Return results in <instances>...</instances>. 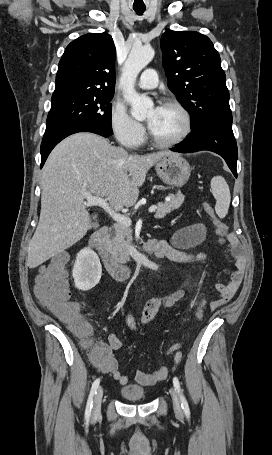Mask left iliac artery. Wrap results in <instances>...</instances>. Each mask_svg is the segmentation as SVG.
I'll list each match as a JSON object with an SVG mask.
<instances>
[{"instance_id":"left-iliac-artery-1","label":"left iliac artery","mask_w":272,"mask_h":455,"mask_svg":"<svg viewBox=\"0 0 272 455\" xmlns=\"http://www.w3.org/2000/svg\"><path fill=\"white\" fill-rule=\"evenodd\" d=\"M173 384L177 392L179 393L180 400H181V407L184 410V413L188 416L190 414L189 406L187 400L185 399L182 390L180 388V383L177 377L173 378Z\"/></svg>"}]
</instances>
